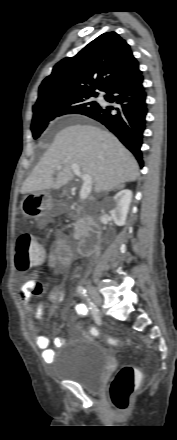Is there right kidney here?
<instances>
[{"label":"right kidney","instance_id":"ca27d5eb","mask_svg":"<svg viewBox=\"0 0 177 440\" xmlns=\"http://www.w3.org/2000/svg\"><path fill=\"white\" fill-rule=\"evenodd\" d=\"M131 200L132 191L129 189H123L113 197L110 214L117 226L125 225Z\"/></svg>","mask_w":177,"mask_h":440}]
</instances>
